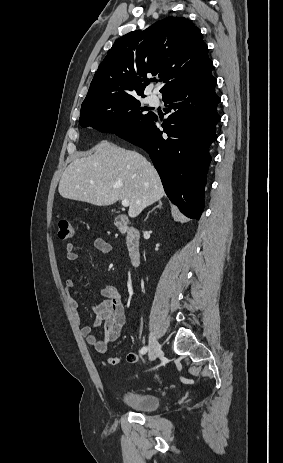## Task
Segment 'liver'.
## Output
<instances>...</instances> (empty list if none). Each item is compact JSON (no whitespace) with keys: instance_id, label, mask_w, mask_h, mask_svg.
I'll use <instances>...</instances> for the list:
<instances>
[{"instance_id":"obj_1","label":"liver","mask_w":283,"mask_h":463,"mask_svg":"<svg viewBox=\"0 0 283 463\" xmlns=\"http://www.w3.org/2000/svg\"><path fill=\"white\" fill-rule=\"evenodd\" d=\"M93 151L65 169L58 187L63 198L96 206L128 200V215L135 218L164 196L156 169L138 152L110 142L97 144Z\"/></svg>"}]
</instances>
